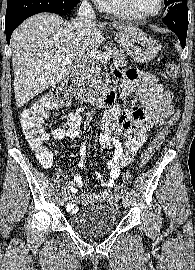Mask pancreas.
<instances>
[{"mask_svg": "<svg viewBox=\"0 0 195 270\" xmlns=\"http://www.w3.org/2000/svg\"><path fill=\"white\" fill-rule=\"evenodd\" d=\"M108 52L113 54V62L117 67H124L127 65V58L123 52L110 48ZM103 63L99 60H90L81 70L80 76L84 83L91 85L93 88H97L101 82Z\"/></svg>", "mask_w": 195, "mask_h": 270, "instance_id": "pancreas-1", "label": "pancreas"}]
</instances>
